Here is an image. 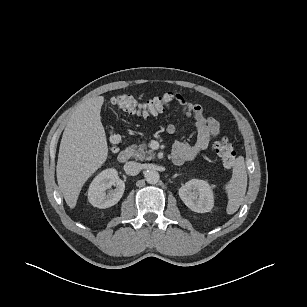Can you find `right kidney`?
<instances>
[{"label":"right kidney","mask_w":307,"mask_h":307,"mask_svg":"<svg viewBox=\"0 0 307 307\" xmlns=\"http://www.w3.org/2000/svg\"><path fill=\"white\" fill-rule=\"evenodd\" d=\"M115 186V189H111ZM109 191L106 193V190ZM125 190V183L118 176L116 169L100 172L91 182L88 190L89 202L97 208L105 209L118 203Z\"/></svg>","instance_id":"ca27d5eb"}]
</instances>
